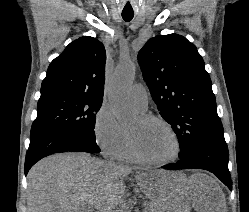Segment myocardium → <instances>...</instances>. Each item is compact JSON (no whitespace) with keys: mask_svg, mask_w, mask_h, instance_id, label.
Segmentation results:
<instances>
[{"mask_svg":"<svg viewBox=\"0 0 249 212\" xmlns=\"http://www.w3.org/2000/svg\"><path fill=\"white\" fill-rule=\"evenodd\" d=\"M140 119L145 123H153V122L159 123V124L163 125L167 130H169L170 133L173 135V137L176 140L177 151H176L175 156L169 160L151 161V160L145 159L137 152V150L135 149L133 142L128 134V136H127L128 149H129V152H130L132 159L137 163H140L142 165L149 166V167H165V166L172 165V164L176 163L182 155V142H181L180 136L177 133V131L175 130V128L167 120L163 119L162 117L156 116V115H141Z\"/></svg>","mask_w":249,"mask_h":212,"instance_id":"myocardium-1","label":"myocardium"}]
</instances>
